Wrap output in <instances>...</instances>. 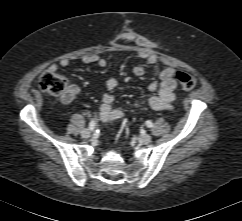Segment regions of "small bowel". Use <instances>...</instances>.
I'll return each instance as SVG.
<instances>
[{
  "instance_id": "small-bowel-1",
  "label": "small bowel",
  "mask_w": 242,
  "mask_h": 221,
  "mask_svg": "<svg viewBox=\"0 0 242 221\" xmlns=\"http://www.w3.org/2000/svg\"><path fill=\"white\" fill-rule=\"evenodd\" d=\"M118 48L120 50L133 51L139 58L145 61L144 64H138L133 68V73L136 76H142L148 70L158 71L159 79L149 84V90L155 94L134 102L131 104L130 109L136 110L148 106L153 110H171L175 100V89L177 85L173 77L176 70L172 67L161 69L158 56L141 36H123L118 43ZM82 63L85 65L97 64L100 67L107 65V61L96 54L83 56ZM69 65L70 61L68 59H62L58 64H51L49 70L56 71L58 67L66 68ZM118 86L119 82L116 78H111L106 82L107 92L103 95L99 114L100 119L104 122L114 121L124 117V111L113 106L114 95L111 92L116 90ZM78 92V87L71 86V97Z\"/></svg>"
}]
</instances>
